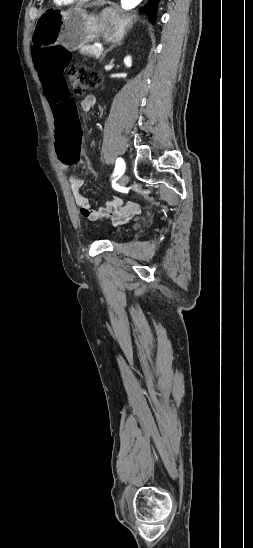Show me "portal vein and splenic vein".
<instances>
[{
  "mask_svg": "<svg viewBox=\"0 0 253 548\" xmlns=\"http://www.w3.org/2000/svg\"><path fill=\"white\" fill-rule=\"evenodd\" d=\"M98 49L101 50V51H103V47H102V46H99Z\"/></svg>",
  "mask_w": 253,
  "mask_h": 548,
  "instance_id": "1",
  "label": "portal vein and splenic vein"
}]
</instances>
